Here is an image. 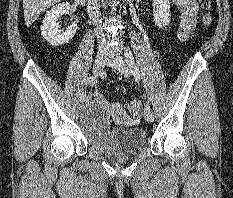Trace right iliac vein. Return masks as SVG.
Instances as JSON below:
<instances>
[{"label": "right iliac vein", "mask_w": 233, "mask_h": 198, "mask_svg": "<svg viewBox=\"0 0 233 198\" xmlns=\"http://www.w3.org/2000/svg\"><path fill=\"white\" fill-rule=\"evenodd\" d=\"M107 61H108V54L104 51L98 52L93 66V73L95 77L100 75ZM89 102H90L89 98L84 100L80 105V109H85L89 105Z\"/></svg>", "instance_id": "1"}]
</instances>
